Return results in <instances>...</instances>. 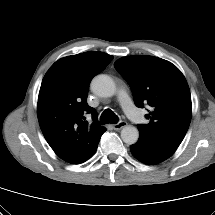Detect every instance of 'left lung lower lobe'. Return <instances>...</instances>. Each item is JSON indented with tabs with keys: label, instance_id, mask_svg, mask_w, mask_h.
<instances>
[{
	"label": "left lung lower lobe",
	"instance_id": "obj_1",
	"mask_svg": "<svg viewBox=\"0 0 215 215\" xmlns=\"http://www.w3.org/2000/svg\"><path fill=\"white\" fill-rule=\"evenodd\" d=\"M130 150L135 158L150 165L158 164L168 159L175 152L170 148L150 140L141 133H139L138 141L131 145Z\"/></svg>",
	"mask_w": 215,
	"mask_h": 215
}]
</instances>
